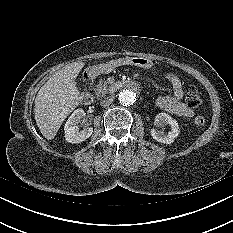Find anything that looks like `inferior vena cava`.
I'll return each mask as SVG.
<instances>
[{
	"label": "inferior vena cava",
	"instance_id": "602c4592",
	"mask_svg": "<svg viewBox=\"0 0 233 233\" xmlns=\"http://www.w3.org/2000/svg\"><path fill=\"white\" fill-rule=\"evenodd\" d=\"M114 101V96H108L105 99L101 100L100 104L102 106H109Z\"/></svg>",
	"mask_w": 233,
	"mask_h": 233
}]
</instances>
